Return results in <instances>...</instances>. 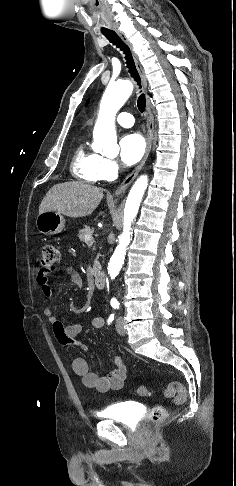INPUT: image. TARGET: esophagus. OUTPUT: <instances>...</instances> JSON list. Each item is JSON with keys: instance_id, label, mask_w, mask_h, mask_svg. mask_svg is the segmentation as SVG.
<instances>
[{"instance_id": "1", "label": "esophagus", "mask_w": 236, "mask_h": 486, "mask_svg": "<svg viewBox=\"0 0 236 486\" xmlns=\"http://www.w3.org/2000/svg\"><path fill=\"white\" fill-rule=\"evenodd\" d=\"M114 30L117 33V35L121 38V40L129 47L130 52L133 56L136 68L138 70V73H139L141 81H142L143 90L147 95V78H146L144 69H143V67H142V65L139 61V58H138L136 52L133 49L131 42L124 35V33L121 32L118 28L115 27ZM146 115H147V136H146L147 145H146L145 154H144L141 162L138 164V166L130 174L127 175V177L123 180V182L120 184V186L115 190L114 195H116V196L124 193L127 190V188L130 186V184L134 181V179L137 177L138 173L140 172V170L144 166V164H145V162L148 158V155L150 153V150H151L152 141H153V132H154V119H153V115H152V112H151V105H150V101H149L148 96H147V100H146Z\"/></svg>"}]
</instances>
